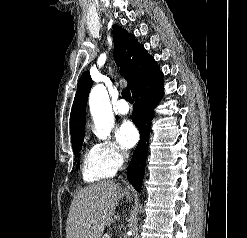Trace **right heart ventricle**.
I'll list each match as a JSON object with an SVG mask.
<instances>
[{
  "instance_id": "e07e8e85",
  "label": "right heart ventricle",
  "mask_w": 247,
  "mask_h": 238,
  "mask_svg": "<svg viewBox=\"0 0 247 238\" xmlns=\"http://www.w3.org/2000/svg\"><path fill=\"white\" fill-rule=\"evenodd\" d=\"M81 172L83 180L87 183H95L111 178L115 173L103 160L96 146L85 150Z\"/></svg>"
}]
</instances>
